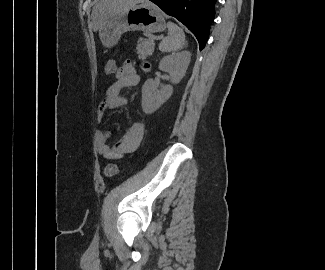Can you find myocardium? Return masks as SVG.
Returning a JSON list of instances; mask_svg holds the SVG:
<instances>
[{"label":"myocardium","mask_w":325,"mask_h":270,"mask_svg":"<svg viewBox=\"0 0 325 270\" xmlns=\"http://www.w3.org/2000/svg\"><path fill=\"white\" fill-rule=\"evenodd\" d=\"M133 1H143V0H133Z\"/></svg>","instance_id":"myocardium-1"}]
</instances>
